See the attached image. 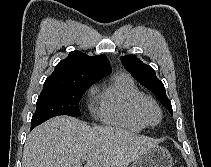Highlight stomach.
<instances>
[{
  "mask_svg": "<svg viewBox=\"0 0 211 167\" xmlns=\"http://www.w3.org/2000/svg\"><path fill=\"white\" fill-rule=\"evenodd\" d=\"M130 167H173V160L166 148L156 146L133 161Z\"/></svg>",
  "mask_w": 211,
  "mask_h": 167,
  "instance_id": "1",
  "label": "stomach"
}]
</instances>
